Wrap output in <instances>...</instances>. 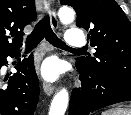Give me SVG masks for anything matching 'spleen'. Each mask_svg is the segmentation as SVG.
Returning <instances> with one entry per match:
<instances>
[{"mask_svg":"<svg viewBox=\"0 0 131 115\" xmlns=\"http://www.w3.org/2000/svg\"><path fill=\"white\" fill-rule=\"evenodd\" d=\"M102 115H131V110L123 108H113L103 112Z\"/></svg>","mask_w":131,"mask_h":115,"instance_id":"3e777b00","label":"spleen"}]
</instances>
